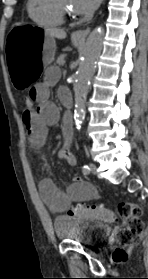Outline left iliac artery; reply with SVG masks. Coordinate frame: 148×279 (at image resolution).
I'll use <instances>...</instances> for the list:
<instances>
[{"label": "left iliac artery", "instance_id": "obj_1", "mask_svg": "<svg viewBox=\"0 0 148 279\" xmlns=\"http://www.w3.org/2000/svg\"><path fill=\"white\" fill-rule=\"evenodd\" d=\"M82 171L84 174H88L90 172V167L88 165H84Z\"/></svg>", "mask_w": 148, "mask_h": 279}]
</instances>
